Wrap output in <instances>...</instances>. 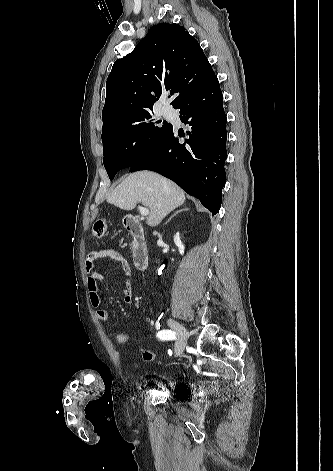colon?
<instances>
[{"label": "colon", "instance_id": "obj_1", "mask_svg": "<svg viewBox=\"0 0 333 471\" xmlns=\"http://www.w3.org/2000/svg\"><path fill=\"white\" fill-rule=\"evenodd\" d=\"M107 231V223L103 220H99L92 228V235L97 239H101L106 235ZM115 341L120 346H126L130 343V337L126 333L119 332L115 335ZM141 354L143 359L147 362L153 361L155 358L154 352L148 349H141Z\"/></svg>", "mask_w": 333, "mask_h": 471}]
</instances>
